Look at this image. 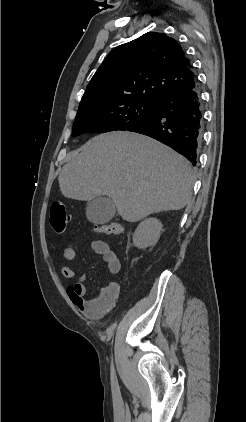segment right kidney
<instances>
[{
	"label": "right kidney",
	"mask_w": 246,
	"mask_h": 422,
	"mask_svg": "<svg viewBox=\"0 0 246 422\" xmlns=\"http://www.w3.org/2000/svg\"><path fill=\"white\" fill-rule=\"evenodd\" d=\"M163 225L156 218L142 221L133 234V243L140 249L154 246L160 237Z\"/></svg>",
	"instance_id": "ca27d5eb"
}]
</instances>
